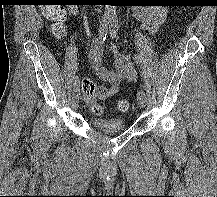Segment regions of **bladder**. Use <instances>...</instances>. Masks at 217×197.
I'll list each match as a JSON object with an SVG mask.
<instances>
[{
  "mask_svg": "<svg viewBox=\"0 0 217 197\" xmlns=\"http://www.w3.org/2000/svg\"><path fill=\"white\" fill-rule=\"evenodd\" d=\"M92 126L105 134H116L126 130L123 119L119 117L112 118H95L91 121Z\"/></svg>",
  "mask_w": 217,
  "mask_h": 197,
  "instance_id": "1",
  "label": "bladder"
}]
</instances>
